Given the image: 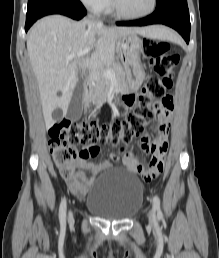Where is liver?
<instances>
[{
    "label": "liver",
    "mask_w": 219,
    "mask_h": 258,
    "mask_svg": "<svg viewBox=\"0 0 219 258\" xmlns=\"http://www.w3.org/2000/svg\"><path fill=\"white\" fill-rule=\"evenodd\" d=\"M165 32V28L159 26L105 27L94 20L74 22L61 15L47 16L35 23L27 37V51L47 127L55 122L52 112L56 108L66 114L79 81L78 67L82 71L89 70L88 79L96 81L100 71L114 61L117 41L121 37L140 34L148 38H165ZM89 47L93 48L90 56L78 57ZM71 55L75 57L67 61Z\"/></svg>",
    "instance_id": "1"
}]
</instances>
